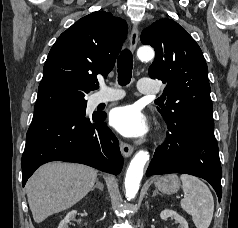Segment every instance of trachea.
<instances>
[{"label": "trachea", "instance_id": "3493384b", "mask_svg": "<svg viewBox=\"0 0 238 228\" xmlns=\"http://www.w3.org/2000/svg\"><path fill=\"white\" fill-rule=\"evenodd\" d=\"M118 83L121 86H125L130 83L132 77V68H133V57L131 52L128 49H124L118 60ZM98 85L95 86V89H98Z\"/></svg>", "mask_w": 238, "mask_h": 228}]
</instances>
